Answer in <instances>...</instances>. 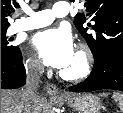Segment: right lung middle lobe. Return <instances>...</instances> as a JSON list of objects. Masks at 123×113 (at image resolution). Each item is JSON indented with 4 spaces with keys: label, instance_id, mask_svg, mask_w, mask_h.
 <instances>
[{
    "label": "right lung middle lobe",
    "instance_id": "right-lung-middle-lobe-1",
    "mask_svg": "<svg viewBox=\"0 0 123 113\" xmlns=\"http://www.w3.org/2000/svg\"><path fill=\"white\" fill-rule=\"evenodd\" d=\"M7 28H1V57L13 58L20 55L21 51L17 46L10 44L11 38L6 36Z\"/></svg>",
    "mask_w": 123,
    "mask_h": 113
}]
</instances>
